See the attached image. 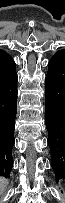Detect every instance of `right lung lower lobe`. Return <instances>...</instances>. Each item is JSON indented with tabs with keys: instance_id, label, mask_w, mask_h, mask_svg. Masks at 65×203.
<instances>
[{
	"instance_id": "98d812e1",
	"label": "right lung lower lobe",
	"mask_w": 65,
	"mask_h": 203,
	"mask_svg": "<svg viewBox=\"0 0 65 203\" xmlns=\"http://www.w3.org/2000/svg\"><path fill=\"white\" fill-rule=\"evenodd\" d=\"M16 112L17 74L14 65L7 69L0 68V176L4 177L10 176L13 166Z\"/></svg>"
}]
</instances>
